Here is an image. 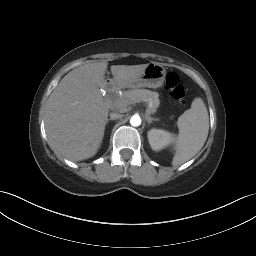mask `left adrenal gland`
Here are the masks:
<instances>
[{"mask_svg": "<svg viewBox=\"0 0 256 256\" xmlns=\"http://www.w3.org/2000/svg\"><path fill=\"white\" fill-rule=\"evenodd\" d=\"M145 120L147 121L148 124H151L153 121H158L159 119L152 118L150 115L145 114Z\"/></svg>", "mask_w": 256, "mask_h": 256, "instance_id": "1", "label": "left adrenal gland"}]
</instances>
